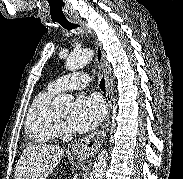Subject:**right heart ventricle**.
<instances>
[{"mask_svg":"<svg viewBox=\"0 0 183 179\" xmlns=\"http://www.w3.org/2000/svg\"><path fill=\"white\" fill-rule=\"evenodd\" d=\"M56 92L51 88L39 92L34 98L26 119V134L35 142H49L59 128L58 115L51 106Z\"/></svg>","mask_w":183,"mask_h":179,"instance_id":"obj_1","label":"right heart ventricle"}]
</instances>
